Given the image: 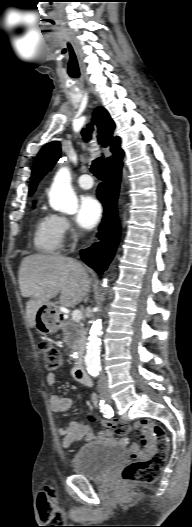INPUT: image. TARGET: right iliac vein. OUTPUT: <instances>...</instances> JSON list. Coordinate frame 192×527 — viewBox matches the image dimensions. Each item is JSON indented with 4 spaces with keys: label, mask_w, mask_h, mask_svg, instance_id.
<instances>
[{
    "label": "right iliac vein",
    "mask_w": 192,
    "mask_h": 527,
    "mask_svg": "<svg viewBox=\"0 0 192 527\" xmlns=\"http://www.w3.org/2000/svg\"><path fill=\"white\" fill-rule=\"evenodd\" d=\"M104 396H105V398H108L109 395L107 393H104Z\"/></svg>",
    "instance_id": "right-iliac-vein-1"
}]
</instances>
